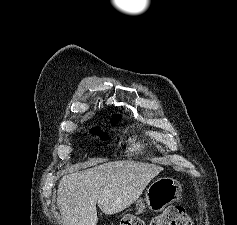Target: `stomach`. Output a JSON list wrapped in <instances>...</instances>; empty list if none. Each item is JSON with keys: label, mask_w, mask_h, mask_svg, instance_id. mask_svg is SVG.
<instances>
[{"label": "stomach", "mask_w": 237, "mask_h": 225, "mask_svg": "<svg viewBox=\"0 0 237 225\" xmlns=\"http://www.w3.org/2000/svg\"><path fill=\"white\" fill-rule=\"evenodd\" d=\"M182 186L172 178L164 177L155 180L145 193V202L147 207L154 211H162L168 204L175 202L181 197ZM137 213H143L145 203L143 199H138L135 202Z\"/></svg>", "instance_id": "stomach-1"}]
</instances>
